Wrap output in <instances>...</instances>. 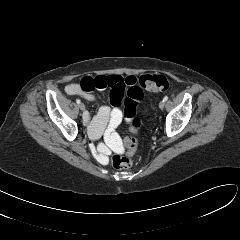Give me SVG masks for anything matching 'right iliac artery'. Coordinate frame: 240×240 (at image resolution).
<instances>
[{
	"instance_id": "82829eb1",
	"label": "right iliac artery",
	"mask_w": 240,
	"mask_h": 240,
	"mask_svg": "<svg viewBox=\"0 0 240 240\" xmlns=\"http://www.w3.org/2000/svg\"><path fill=\"white\" fill-rule=\"evenodd\" d=\"M76 103H77V104H80V103H81L80 99H77V100H76Z\"/></svg>"
}]
</instances>
